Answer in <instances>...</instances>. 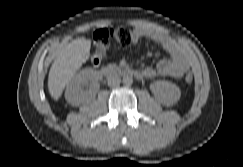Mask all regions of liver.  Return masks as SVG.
<instances>
[{
    "label": "liver",
    "instance_id": "obj_1",
    "mask_svg": "<svg viewBox=\"0 0 243 167\" xmlns=\"http://www.w3.org/2000/svg\"><path fill=\"white\" fill-rule=\"evenodd\" d=\"M91 41L77 38L57 52L48 76V90L54 100L62 95L65 86L90 56Z\"/></svg>",
    "mask_w": 243,
    "mask_h": 167
}]
</instances>
